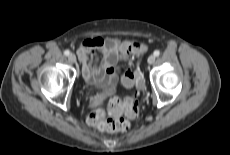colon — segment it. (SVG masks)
I'll use <instances>...</instances> for the list:
<instances>
[{
	"label": "colon",
	"instance_id": "colon-1",
	"mask_svg": "<svg viewBox=\"0 0 230 155\" xmlns=\"http://www.w3.org/2000/svg\"><path fill=\"white\" fill-rule=\"evenodd\" d=\"M144 49L145 47L140 43H130L125 48V54L127 58L130 59L134 55L144 51ZM126 76L130 81L135 82L137 85L141 84L139 73L127 69ZM109 107L115 115H118L122 109L125 110L126 115L130 119H135L139 115L138 102L134 97L126 99L123 104L117 98H113L109 101ZM87 123L98 130L107 132H126L130 129V122L128 120L120 117L108 118L106 111L101 108L88 114Z\"/></svg>",
	"mask_w": 230,
	"mask_h": 155
}]
</instances>
